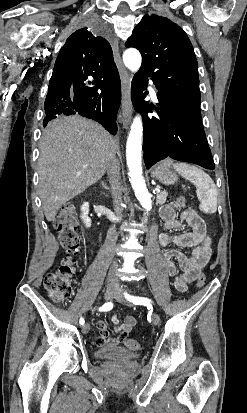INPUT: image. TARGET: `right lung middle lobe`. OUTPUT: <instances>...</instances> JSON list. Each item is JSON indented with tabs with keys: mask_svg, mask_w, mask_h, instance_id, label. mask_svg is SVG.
<instances>
[{
	"mask_svg": "<svg viewBox=\"0 0 247 413\" xmlns=\"http://www.w3.org/2000/svg\"><path fill=\"white\" fill-rule=\"evenodd\" d=\"M48 91H50V90H48ZM62 95H63V92L61 90H56L54 92V96H56V97H61Z\"/></svg>",
	"mask_w": 247,
	"mask_h": 413,
	"instance_id": "1",
	"label": "right lung middle lobe"
}]
</instances>
